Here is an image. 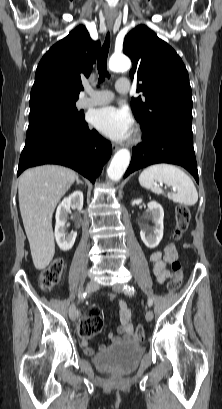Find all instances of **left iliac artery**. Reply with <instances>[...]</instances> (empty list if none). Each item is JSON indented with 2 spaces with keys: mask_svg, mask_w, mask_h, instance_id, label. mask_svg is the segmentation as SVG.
Segmentation results:
<instances>
[{
  "mask_svg": "<svg viewBox=\"0 0 222 409\" xmlns=\"http://www.w3.org/2000/svg\"><path fill=\"white\" fill-rule=\"evenodd\" d=\"M123 290H124V293H125V294H128V295H133V294L135 293V289H134V287H132V286L125 285V286L123 287ZM147 303H148V306L151 307L152 304H153L152 299H151V298H148Z\"/></svg>",
  "mask_w": 222,
  "mask_h": 409,
  "instance_id": "1",
  "label": "left iliac artery"
}]
</instances>
